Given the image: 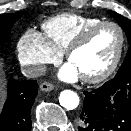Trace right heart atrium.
I'll use <instances>...</instances> for the list:
<instances>
[{"mask_svg": "<svg viewBox=\"0 0 131 131\" xmlns=\"http://www.w3.org/2000/svg\"><path fill=\"white\" fill-rule=\"evenodd\" d=\"M17 53L20 63L36 72L52 63H56L61 53L47 39L34 30L26 31L18 40Z\"/></svg>", "mask_w": 131, "mask_h": 131, "instance_id": "obj_1", "label": "right heart atrium"}]
</instances>
